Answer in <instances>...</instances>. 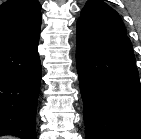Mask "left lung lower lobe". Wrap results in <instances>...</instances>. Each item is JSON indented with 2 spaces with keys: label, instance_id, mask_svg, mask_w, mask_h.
Masks as SVG:
<instances>
[{
  "label": "left lung lower lobe",
  "instance_id": "obj_1",
  "mask_svg": "<svg viewBox=\"0 0 141 139\" xmlns=\"http://www.w3.org/2000/svg\"><path fill=\"white\" fill-rule=\"evenodd\" d=\"M86 139H141V87L130 39L77 22Z\"/></svg>",
  "mask_w": 141,
  "mask_h": 139
}]
</instances>
